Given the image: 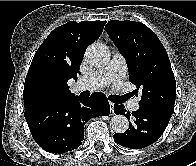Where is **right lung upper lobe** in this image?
Masks as SVG:
<instances>
[{
    "mask_svg": "<svg viewBox=\"0 0 196 166\" xmlns=\"http://www.w3.org/2000/svg\"><path fill=\"white\" fill-rule=\"evenodd\" d=\"M105 21H69L54 29L37 50L24 84L25 111L68 98L67 82L77 80L87 47L102 33Z\"/></svg>",
    "mask_w": 196,
    "mask_h": 166,
    "instance_id": "cb5924a9",
    "label": "right lung upper lobe"
}]
</instances>
